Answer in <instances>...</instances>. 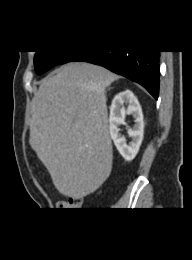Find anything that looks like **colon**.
Instances as JSON below:
<instances>
[{
    "instance_id": "obj_1",
    "label": "colon",
    "mask_w": 192,
    "mask_h": 260,
    "mask_svg": "<svg viewBox=\"0 0 192 260\" xmlns=\"http://www.w3.org/2000/svg\"><path fill=\"white\" fill-rule=\"evenodd\" d=\"M82 205L81 197H71L67 201H61L58 204L60 209H73L79 208Z\"/></svg>"
}]
</instances>
